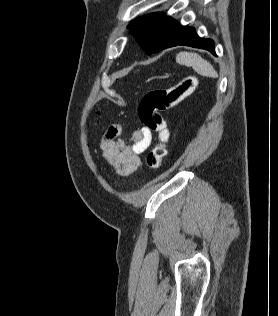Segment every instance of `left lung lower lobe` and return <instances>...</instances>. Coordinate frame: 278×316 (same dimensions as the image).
Wrapping results in <instances>:
<instances>
[{
    "mask_svg": "<svg viewBox=\"0 0 278 316\" xmlns=\"http://www.w3.org/2000/svg\"><path fill=\"white\" fill-rule=\"evenodd\" d=\"M178 45H186V46L206 49L210 51L213 55H216L214 41L211 39L200 38L195 32V29L192 27L180 25L176 34L170 40V42L165 46L164 49L178 46Z\"/></svg>",
    "mask_w": 278,
    "mask_h": 316,
    "instance_id": "left-lung-lower-lobe-1",
    "label": "left lung lower lobe"
}]
</instances>
